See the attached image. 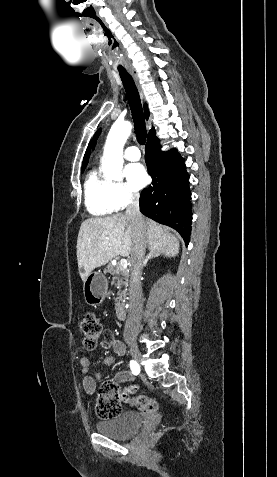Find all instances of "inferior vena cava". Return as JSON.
Returning a JSON list of instances; mask_svg holds the SVG:
<instances>
[{
    "label": "inferior vena cava",
    "instance_id": "602c4592",
    "mask_svg": "<svg viewBox=\"0 0 277 477\" xmlns=\"http://www.w3.org/2000/svg\"><path fill=\"white\" fill-rule=\"evenodd\" d=\"M125 214L130 218L133 230L129 314L124 328V338L128 341L134 340L137 336L143 307L141 274L145 262L146 231L144 219L139 210L138 193L130 194Z\"/></svg>",
    "mask_w": 277,
    "mask_h": 477
}]
</instances>
